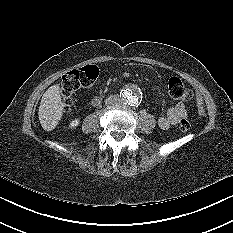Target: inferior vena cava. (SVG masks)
Segmentation results:
<instances>
[{
    "label": "inferior vena cava",
    "instance_id": "obj_1",
    "mask_svg": "<svg viewBox=\"0 0 233 233\" xmlns=\"http://www.w3.org/2000/svg\"><path fill=\"white\" fill-rule=\"evenodd\" d=\"M105 104L114 107L119 106L121 104V101L118 95H112L105 100Z\"/></svg>",
    "mask_w": 233,
    "mask_h": 233
}]
</instances>
